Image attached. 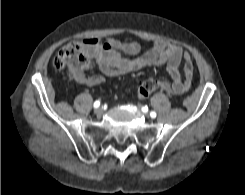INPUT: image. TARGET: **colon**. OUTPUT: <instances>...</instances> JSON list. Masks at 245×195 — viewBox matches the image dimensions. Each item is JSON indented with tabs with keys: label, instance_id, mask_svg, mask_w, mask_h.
I'll use <instances>...</instances> for the list:
<instances>
[{
	"label": "colon",
	"instance_id": "5ec220e1",
	"mask_svg": "<svg viewBox=\"0 0 245 195\" xmlns=\"http://www.w3.org/2000/svg\"><path fill=\"white\" fill-rule=\"evenodd\" d=\"M53 64L57 69H67L78 80L85 77V73L91 68V60L85 47L75 42L65 45L54 58ZM159 86L160 83L152 77L142 80L138 85V96L146 98Z\"/></svg>",
	"mask_w": 245,
	"mask_h": 195
}]
</instances>
